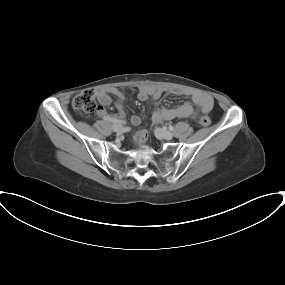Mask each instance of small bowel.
<instances>
[{"label": "small bowel", "instance_id": "small-bowel-1", "mask_svg": "<svg viewBox=\"0 0 285 285\" xmlns=\"http://www.w3.org/2000/svg\"><path fill=\"white\" fill-rule=\"evenodd\" d=\"M167 92L174 95H191L192 101L198 107V109H195L190 102H185L173 108L157 107L152 114V119L155 123H160L164 120H173L176 118H194L197 113L201 112L206 114L209 113L213 108L214 102L211 96L201 92L188 93L177 88L168 90L164 87L143 85L138 89L137 98L140 101L151 100L152 102L157 103L160 100L161 96ZM95 94L97 96L98 101L102 105L97 111V114L100 117L106 118L111 121H116L124 117L125 111L123 103L125 101V95L120 89L114 87L96 88ZM110 94L114 95L117 98V115L109 114L104 108L105 106H108L111 103ZM142 120L143 116L135 115L131 118V124L139 125ZM147 137L148 132L146 130L137 131L133 136L134 141L137 144H143L146 141Z\"/></svg>", "mask_w": 285, "mask_h": 285}]
</instances>
